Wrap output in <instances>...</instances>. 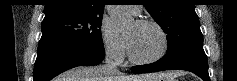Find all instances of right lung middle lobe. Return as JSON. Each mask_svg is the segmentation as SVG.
<instances>
[{
	"mask_svg": "<svg viewBox=\"0 0 237 81\" xmlns=\"http://www.w3.org/2000/svg\"><path fill=\"white\" fill-rule=\"evenodd\" d=\"M102 16L61 15L42 22L41 40H57L75 44H103Z\"/></svg>",
	"mask_w": 237,
	"mask_h": 81,
	"instance_id": "obj_1",
	"label": "right lung middle lobe"
}]
</instances>
